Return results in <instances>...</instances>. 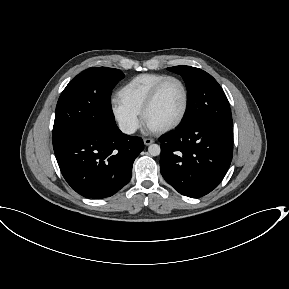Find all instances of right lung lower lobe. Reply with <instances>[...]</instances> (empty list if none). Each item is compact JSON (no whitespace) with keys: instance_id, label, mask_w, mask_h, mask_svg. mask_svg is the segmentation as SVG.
Instances as JSON below:
<instances>
[{"instance_id":"right-lung-lower-lobe-1","label":"right lung lower lobe","mask_w":289,"mask_h":289,"mask_svg":"<svg viewBox=\"0 0 289 289\" xmlns=\"http://www.w3.org/2000/svg\"><path fill=\"white\" fill-rule=\"evenodd\" d=\"M53 147L71 188L86 198L99 199L112 196L130 181L133 162L144 144L115 124L87 127Z\"/></svg>"}]
</instances>
